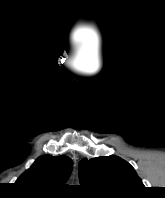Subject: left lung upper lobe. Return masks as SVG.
I'll list each match as a JSON object with an SVG mask.
<instances>
[{"label": "left lung upper lobe", "instance_id": "left-lung-upper-lobe-1", "mask_svg": "<svg viewBox=\"0 0 165 198\" xmlns=\"http://www.w3.org/2000/svg\"><path fill=\"white\" fill-rule=\"evenodd\" d=\"M79 178L82 185L105 198H135L144 188L134 168L117 156L82 159Z\"/></svg>", "mask_w": 165, "mask_h": 198}]
</instances>
